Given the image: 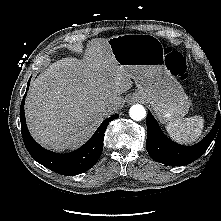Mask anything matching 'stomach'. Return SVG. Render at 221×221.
I'll use <instances>...</instances> for the list:
<instances>
[{"label": "stomach", "instance_id": "1", "mask_svg": "<svg viewBox=\"0 0 221 221\" xmlns=\"http://www.w3.org/2000/svg\"><path fill=\"white\" fill-rule=\"evenodd\" d=\"M118 65L135 81V95L148 102L162 123L182 119L190 100L164 64L160 41L149 34H123L106 40Z\"/></svg>", "mask_w": 221, "mask_h": 221}]
</instances>
